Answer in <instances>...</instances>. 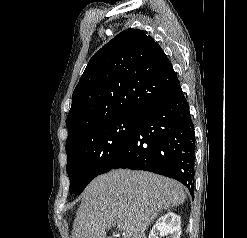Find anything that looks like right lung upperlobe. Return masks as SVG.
<instances>
[{"label":"right lung upper lobe","mask_w":247,"mask_h":238,"mask_svg":"<svg viewBox=\"0 0 247 238\" xmlns=\"http://www.w3.org/2000/svg\"><path fill=\"white\" fill-rule=\"evenodd\" d=\"M179 80L161 47L139 29H127L89 61L72 95L67 144L85 131L163 100Z\"/></svg>","instance_id":"1"}]
</instances>
